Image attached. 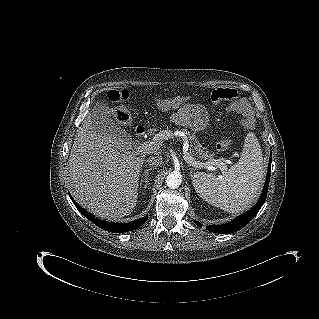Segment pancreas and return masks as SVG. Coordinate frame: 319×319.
Returning <instances> with one entry per match:
<instances>
[{
	"mask_svg": "<svg viewBox=\"0 0 319 319\" xmlns=\"http://www.w3.org/2000/svg\"><path fill=\"white\" fill-rule=\"evenodd\" d=\"M183 131L186 133L187 140L190 143L191 154L195 156L196 159L207 160L208 158H212L214 156V154H210L209 151H207L204 147H202V145L199 143V141L195 138L194 135H191L189 132L187 133L186 130H183ZM156 132H157L156 128H152L149 130V134L151 136L156 137L157 135ZM158 139H159L158 142L160 146L161 142L164 139H160V138Z\"/></svg>",
	"mask_w": 319,
	"mask_h": 319,
	"instance_id": "1",
	"label": "pancreas"
}]
</instances>
